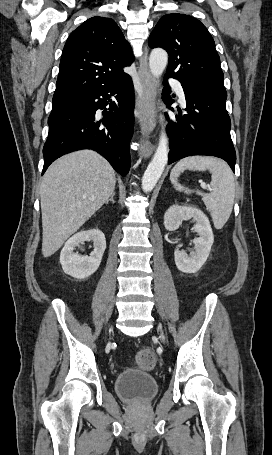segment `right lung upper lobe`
Returning <instances> with one entry per match:
<instances>
[{
  "instance_id": "obj_1",
  "label": "right lung upper lobe",
  "mask_w": 272,
  "mask_h": 455,
  "mask_svg": "<svg viewBox=\"0 0 272 455\" xmlns=\"http://www.w3.org/2000/svg\"><path fill=\"white\" fill-rule=\"evenodd\" d=\"M134 60L131 47L111 18L92 17L69 36L64 46L53 104L118 83Z\"/></svg>"
}]
</instances>
